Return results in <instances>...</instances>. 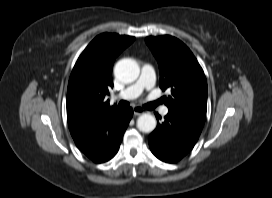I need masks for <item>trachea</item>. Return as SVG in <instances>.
<instances>
[{"mask_svg":"<svg viewBox=\"0 0 272 198\" xmlns=\"http://www.w3.org/2000/svg\"><path fill=\"white\" fill-rule=\"evenodd\" d=\"M158 104H159V102L157 101V102L149 103V104L145 105V107H146V108H148V107L154 108V107H156ZM119 106H121V107H128V106H129V102L124 101V100H121V101L119 102Z\"/></svg>","mask_w":272,"mask_h":198,"instance_id":"trachea-1","label":"trachea"}]
</instances>
